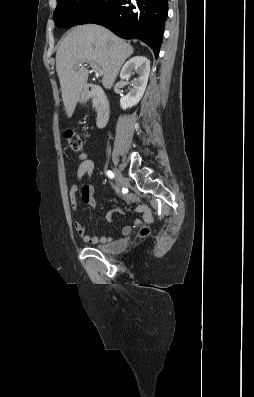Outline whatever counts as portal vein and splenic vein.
<instances>
[{"label":"portal vein and splenic vein","instance_id":"obj_1","mask_svg":"<svg viewBox=\"0 0 254 397\" xmlns=\"http://www.w3.org/2000/svg\"><path fill=\"white\" fill-rule=\"evenodd\" d=\"M87 64H89L92 67L96 76H101L103 74V69L100 68L95 62L90 61V62H87ZM80 66H83V64L79 63L76 65L77 68H79Z\"/></svg>","mask_w":254,"mask_h":397}]
</instances>
